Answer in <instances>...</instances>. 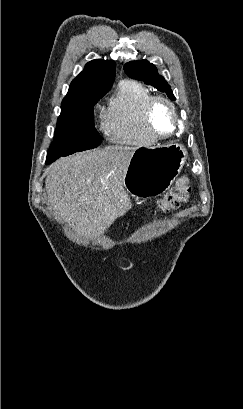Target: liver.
Here are the masks:
<instances>
[{
    "label": "liver",
    "instance_id": "obj_1",
    "mask_svg": "<svg viewBox=\"0 0 243 409\" xmlns=\"http://www.w3.org/2000/svg\"><path fill=\"white\" fill-rule=\"evenodd\" d=\"M136 149L109 146L56 161L45 170L48 205L78 235L100 236L131 206L124 180Z\"/></svg>",
    "mask_w": 243,
    "mask_h": 409
}]
</instances>
